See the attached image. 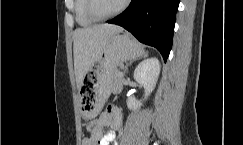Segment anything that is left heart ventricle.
<instances>
[{"instance_id":"1","label":"left heart ventricle","mask_w":243,"mask_h":145,"mask_svg":"<svg viewBox=\"0 0 243 145\" xmlns=\"http://www.w3.org/2000/svg\"><path fill=\"white\" fill-rule=\"evenodd\" d=\"M124 0H96V9L102 14L106 15L117 10Z\"/></svg>"}]
</instances>
